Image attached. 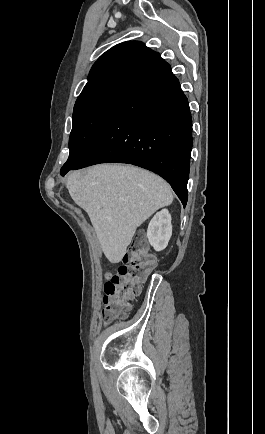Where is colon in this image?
<instances>
[{
  "label": "colon",
  "mask_w": 265,
  "mask_h": 434,
  "mask_svg": "<svg viewBox=\"0 0 265 434\" xmlns=\"http://www.w3.org/2000/svg\"><path fill=\"white\" fill-rule=\"evenodd\" d=\"M144 243V235L138 234L134 237L127 248L124 260L119 264L117 271L107 274L105 292L108 301L103 304L106 309V319L103 325L111 327L114 320H124L121 314L126 306V300L136 297L141 285L146 281L147 276L156 266V257L153 253H147Z\"/></svg>",
  "instance_id": "obj_1"
}]
</instances>
